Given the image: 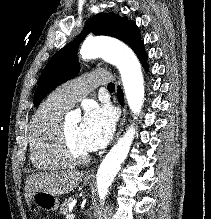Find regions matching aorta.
<instances>
[{
	"label": "aorta",
	"mask_w": 211,
	"mask_h": 219,
	"mask_svg": "<svg viewBox=\"0 0 211 219\" xmlns=\"http://www.w3.org/2000/svg\"><path fill=\"white\" fill-rule=\"evenodd\" d=\"M83 58L102 57L115 65L121 74L126 99L131 111L138 114L144 100V80L140 63L134 52L118 42H106L97 38L87 39L80 50ZM135 129L133 126L120 138L107 153L97 172V190L100 199L108 194L115 176L121 168L130 150Z\"/></svg>",
	"instance_id": "762f6f07"
}]
</instances>
